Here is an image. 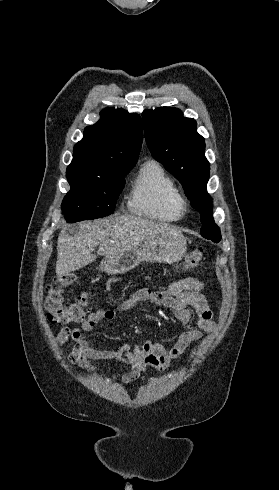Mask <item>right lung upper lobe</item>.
I'll use <instances>...</instances> for the list:
<instances>
[{"label":"right lung upper lobe","instance_id":"cb5924a9","mask_svg":"<svg viewBox=\"0 0 279 490\" xmlns=\"http://www.w3.org/2000/svg\"><path fill=\"white\" fill-rule=\"evenodd\" d=\"M143 141L139 115L122 109H105L101 119L84 131L73 150L67 173L106 174L135 165Z\"/></svg>","mask_w":279,"mask_h":490}]
</instances>
